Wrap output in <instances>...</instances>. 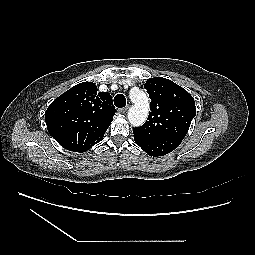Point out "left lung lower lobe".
Here are the masks:
<instances>
[{
	"label": "left lung lower lobe",
	"mask_w": 255,
	"mask_h": 255,
	"mask_svg": "<svg viewBox=\"0 0 255 255\" xmlns=\"http://www.w3.org/2000/svg\"><path fill=\"white\" fill-rule=\"evenodd\" d=\"M134 140L143 151L153 157L170 153L182 142L181 139L171 137L142 138L135 135Z\"/></svg>",
	"instance_id": "obj_1"
}]
</instances>
